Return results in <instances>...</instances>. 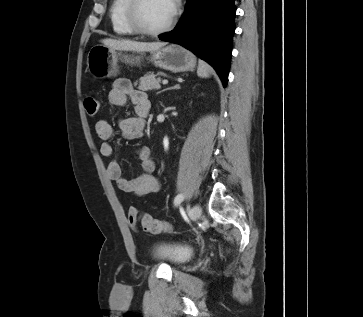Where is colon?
I'll return each mask as SVG.
<instances>
[{"label": "colon", "instance_id": "5ec220e1", "mask_svg": "<svg viewBox=\"0 0 363 317\" xmlns=\"http://www.w3.org/2000/svg\"><path fill=\"white\" fill-rule=\"evenodd\" d=\"M85 110L90 117L97 115L99 111V101L93 96H88L84 100ZM128 220L132 227L141 228L151 234H160L170 230V224L161 219H155L151 215L140 212L137 208L131 207L128 211Z\"/></svg>", "mask_w": 363, "mask_h": 317}]
</instances>
